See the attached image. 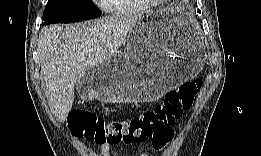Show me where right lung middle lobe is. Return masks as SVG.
Wrapping results in <instances>:
<instances>
[{
	"label": "right lung middle lobe",
	"instance_id": "right-lung-middle-lobe-1",
	"mask_svg": "<svg viewBox=\"0 0 261 156\" xmlns=\"http://www.w3.org/2000/svg\"><path fill=\"white\" fill-rule=\"evenodd\" d=\"M101 14L90 0H49L43 20L44 25L69 23L95 18Z\"/></svg>",
	"mask_w": 261,
	"mask_h": 156
}]
</instances>
